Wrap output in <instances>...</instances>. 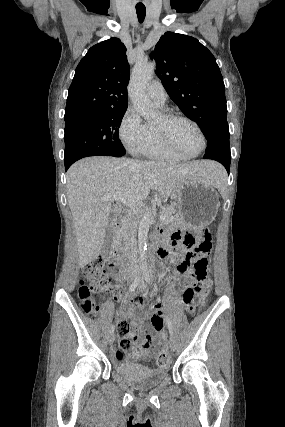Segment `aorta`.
<instances>
[{"label": "aorta", "instance_id": "aorta-1", "mask_svg": "<svg viewBox=\"0 0 285 427\" xmlns=\"http://www.w3.org/2000/svg\"><path fill=\"white\" fill-rule=\"evenodd\" d=\"M155 65V62L136 63L128 86V94L135 110L146 120H151L157 115L156 108L146 92L147 83L153 78ZM150 222L151 210L146 209L138 227V248L142 269L146 268L145 251Z\"/></svg>", "mask_w": 285, "mask_h": 427}]
</instances>
